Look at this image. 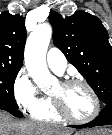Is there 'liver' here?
Masks as SVG:
<instances>
[{
    "label": "liver",
    "mask_w": 112,
    "mask_h": 135,
    "mask_svg": "<svg viewBox=\"0 0 112 135\" xmlns=\"http://www.w3.org/2000/svg\"><path fill=\"white\" fill-rule=\"evenodd\" d=\"M101 134L102 130L92 131ZM72 130L35 121H17L0 110V135H70Z\"/></svg>",
    "instance_id": "liver-1"
}]
</instances>
